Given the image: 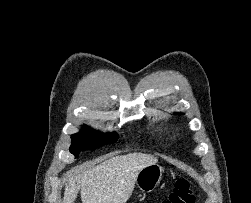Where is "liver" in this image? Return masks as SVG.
Instances as JSON below:
<instances>
[{"instance_id": "obj_1", "label": "liver", "mask_w": 251, "mask_h": 203, "mask_svg": "<svg viewBox=\"0 0 251 203\" xmlns=\"http://www.w3.org/2000/svg\"><path fill=\"white\" fill-rule=\"evenodd\" d=\"M157 161L152 155L135 152L112 157L82 174L69 172L63 203H74L79 191L82 203H126L139 171Z\"/></svg>"}]
</instances>
